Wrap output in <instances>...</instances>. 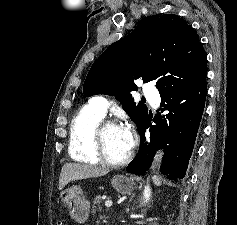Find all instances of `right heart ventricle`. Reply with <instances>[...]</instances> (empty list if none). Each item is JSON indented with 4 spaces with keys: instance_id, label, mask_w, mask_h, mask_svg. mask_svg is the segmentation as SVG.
<instances>
[{
    "instance_id": "e07e8e85",
    "label": "right heart ventricle",
    "mask_w": 237,
    "mask_h": 225,
    "mask_svg": "<svg viewBox=\"0 0 237 225\" xmlns=\"http://www.w3.org/2000/svg\"><path fill=\"white\" fill-rule=\"evenodd\" d=\"M94 102L85 104L74 116L70 125L69 154L77 162L97 164L93 144L94 127L104 118Z\"/></svg>"
}]
</instances>
